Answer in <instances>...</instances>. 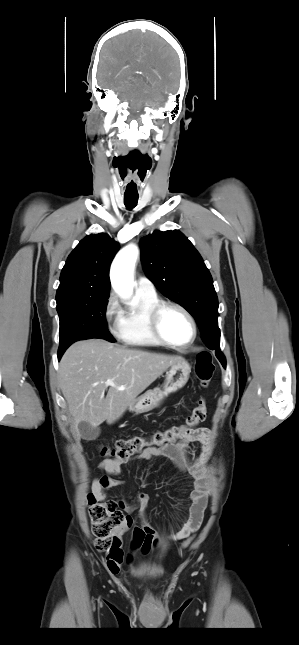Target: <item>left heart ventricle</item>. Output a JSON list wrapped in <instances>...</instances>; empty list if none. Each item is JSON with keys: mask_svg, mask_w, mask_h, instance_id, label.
Segmentation results:
<instances>
[{"mask_svg": "<svg viewBox=\"0 0 299 645\" xmlns=\"http://www.w3.org/2000/svg\"><path fill=\"white\" fill-rule=\"evenodd\" d=\"M164 336L175 343H186L192 336V327L187 317L179 310L168 308L161 319Z\"/></svg>", "mask_w": 299, "mask_h": 645, "instance_id": "left-heart-ventricle-1", "label": "left heart ventricle"}]
</instances>
